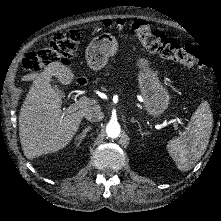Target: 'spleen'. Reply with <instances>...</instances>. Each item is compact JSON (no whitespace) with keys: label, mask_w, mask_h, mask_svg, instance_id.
<instances>
[{"label":"spleen","mask_w":221,"mask_h":221,"mask_svg":"<svg viewBox=\"0 0 221 221\" xmlns=\"http://www.w3.org/2000/svg\"><path fill=\"white\" fill-rule=\"evenodd\" d=\"M213 128V115L207 101L202 102L192 115L181 136L167 144L169 155L181 171L190 170L205 153Z\"/></svg>","instance_id":"spleen-1"}]
</instances>
